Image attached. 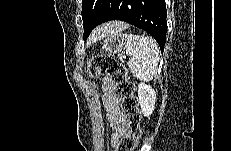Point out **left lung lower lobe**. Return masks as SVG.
<instances>
[{"mask_svg": "<svg viewBox=\"0 0 231 151\" xmlns=\"http://www.w3.org/2000/svg\"><path fill=\"white\" fill-rule=\"evenodd\" d=\"M167 11L165 0H115L99 24L121 20L151 34L163 52L166 42ZM88 36L84 37V40Z\"/></svg>", "mask_w": 231, "mask_h": 151, "instance_id": "0a47b994", "label": "left lung lower lobe"}]
</instances>
